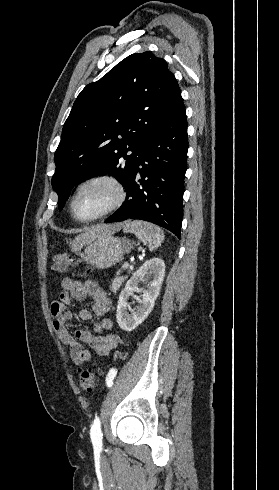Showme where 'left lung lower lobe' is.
<instances>
[{"instance_id": "obj_1", "label": "left lung lower lobe", "mask_w": 279, "mask_h": 490, "mask_svg": "<svg viewBox=\"0 0 279 490\" xmlns=\"http://www.w3.org/2000/svg\"><path fill=\"white\" fill-rule=\"evenodd\" d=\"M187 150V120L181 100L151 131L129 177L126 200L105 223L145 220L180 238Z\"/></svg>"}]
</instances>
